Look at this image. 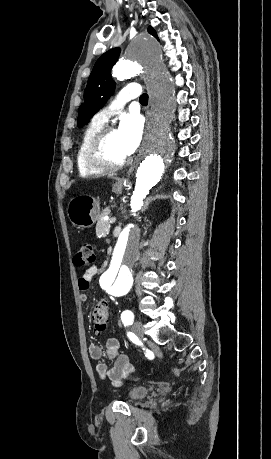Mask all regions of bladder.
I'll return each mask as SVG.
<instances>
[{
    "label": "bladder",
    "mask_w": 271,
    "mask_h": 459,
    "mask_svg": "<svg viewBox=\"0 0 271 459\" xmlns=\"http://www.w3.org/2000/svg\"><path fill=\"white\" fill-rule=\"evenodd\" d=\"M150 393V388L149 387H134L130 389L128 392V398L131 402H134L135 400L147 396Z\"/></svg>",
    "instance_id": "1"
}]
</instances>
